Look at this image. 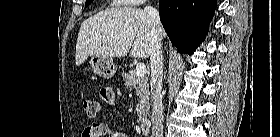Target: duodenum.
I'll list each match as a JSON object with an SVG mask.
<instances>
[{"mask_svg":"<svg viewBox=\"0 0 280 137\" xmlns=\"http://www.w3.org/2000/svg\"><path fill=\"white\" fill-rule=\"evenodd\" d=\"M151 120L149 119H146V120H143L141 123H140V131L143 133V134H149L150 131H151Z\"/></svg>","mask_w":280,"mask_h":137,"instance_id":"410a0bca","label":"duodenum"}]
</instances>
